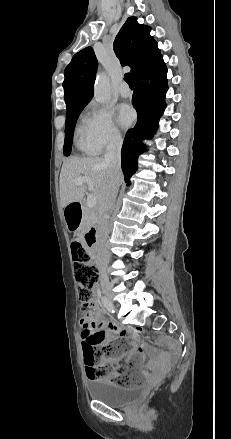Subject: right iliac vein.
Wrapping results in <instances>:
<instances>
[{
  "label": "right iliac vein",
  "instance_id": "1",
  "mask_svg": "<svg viewBox=\"0 0 231 439\" xmlns=\"http://www.w3.org/2000/svg\"><path fill=\"white\" fill-rule=\"evenodd\" d=\"M107 296H108V298L110 299V302H111V304H112V297H113L112 292H111V291H108V292H107ZM112 310H114V306H113V304H112Z\"/></svg>",
  "mask_w": 231,
  "mask_h": 439
}]
</instances>
